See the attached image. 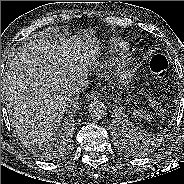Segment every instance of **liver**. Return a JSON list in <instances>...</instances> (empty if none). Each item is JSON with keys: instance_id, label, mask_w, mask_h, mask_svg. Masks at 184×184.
I'll use <instances>...</instances> for the list:
<instances>
[{"instance_id": "obj_1", "label": "liver", "mask_w": 184, "mask_h": 184, "mask_svg": "<svg viewBox=\"0 0 184 184\" xmlns=\"http://www.w3.org/2000/svg\"><path fill=\"white\" fill-rule=\"evenodd\" d=\"M93 44L94 40L73 37L61 47L50 38H35L17 48L7 62L3 84L6 105L36 142L54 140L71 94L70 79L91 66L96 53Z\"/></svg>"}]
</instances>
